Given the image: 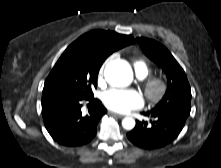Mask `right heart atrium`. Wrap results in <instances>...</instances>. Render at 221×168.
Wrapping results in <instances>:
<instances>
[{"mask_svg": "<svg viewBox=\"0 0 221 168\" xmlns=\"http://www.w3.org/2000/svg\"><path fill=\"white\" fill-rule=\"evenodd\" d=\"M103 71H104V67H102L99 71V80L102 81L103 79Z\"/></svg>", "mask_w": 221, "mask_h": 168, "instance_id": "d8ad5b80", "label": "right heart atrium"}]
</instances>
